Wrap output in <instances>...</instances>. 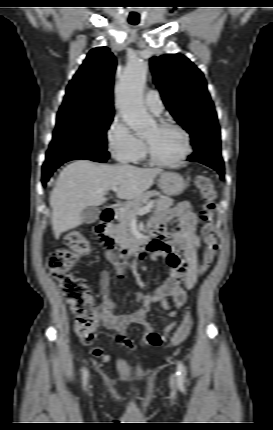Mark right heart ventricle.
I'll use <instances>...</instances> for the list:
<instances>
[{
    "label": "right heart ventricle",
    "mask_w": 273,
    "mask_h": 430,
    "mask_svg": "<svg viewBox=\"0 0 273 430\" xmlns=\"http://www.w3.org/2000/svg\"><path fill=\"white\" fill-rule=\"evenodd\" d=\"M143 157H144V151L137 157L135 161H140L143 159Z\"/></svg>",
    "instance_id": "right-heart-ventricle-1"
}]
</instances>
